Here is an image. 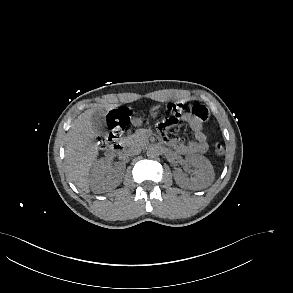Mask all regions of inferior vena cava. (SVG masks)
<instances>
[{
  "label": "inferior vena cava",
  "mask_w": 293,
  "mask_h": 293,
  "mask_svg": "<svg viewBox=\"0 0 293 293\" xmlns=\"http://www.w3.org/2000/svg\"><path fill=\"white\" fill-rule=\"evenodd\" d=\"M141 152V149L138 148V147H132V148H129L125 151V154L127 156H135V155H138L139 153Z\"/></svg>",
  "instance_id": "1"
}]
</instances>
